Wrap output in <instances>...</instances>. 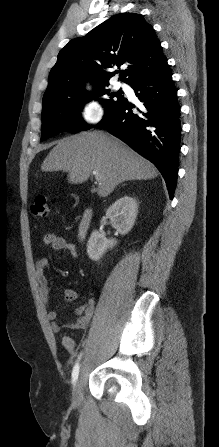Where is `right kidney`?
<instances>
[{
	"label": "right kidney",
	"mask_w": 219,
	"mask_h": 447,
	"mask_svg": "<svg viewBox=\"0 0 219 447\" xmlns=\"http://www.w3.org/2000/svg\"><path fill=\"white\" fill-rule=\"evenodd\" d=\"M137 213V201L130 196L116 200L106 210V216L110 219L112 227L121 235H126L133 228ZM116 244V239H107L105 235L94 230L87 243V254L91 260L99 261L106 250Z\"/></svg>",
	"instance_id": "right-kidney-1"
}]
</instances>
